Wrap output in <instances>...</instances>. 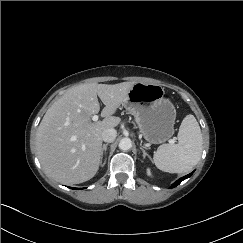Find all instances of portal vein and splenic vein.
Masks as SVG:
<instances>
[{"instance_id":"obj_1","label":"portal vein and splenic vein","mask_w":243,"mask_h":243,"mask_svg":"<svg viewBox=\"0 0 243 243\" xmlns=\"http://www.w3.org/2000/svg\"><path fill=\"white\" fill-rule=\"evenodd\" d=\"M98 115H93L92 116V120L94 121V122H97L98 121ZM171 143H174L175 142V139H171V141H170Z\"/></svg>"}]
</instances>
